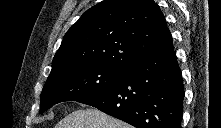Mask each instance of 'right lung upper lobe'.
Returning <instances> with one entry per match:
<instances>
[{"label": "right lung upper lobe", "instance_id": "right-lung-upper-lobe-1", "mask_svg": "<svg viewBox=\"0 0 221 128\" xmlns=\"http://www.w3.org/2000/svg\"><path fill=\"white\" fill-rule=\"evenodd\" d=\"M171 49L165 17L153 0H104L67 31L51 72L92 64L129 69L144 58Z\"/></svg>", "mask_w": 221, "mask_h": 128}]
</instances>
